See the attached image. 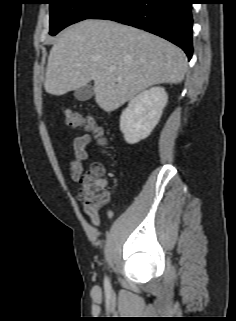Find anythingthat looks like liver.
Segmentation results:
<instances>
[{"mask_svg": "<svg viewBox=\"0 0 236 321\" xmlns=\"http://www.w3.org/2000/svg\"><path fill=\"white\" fill-rule=\"evenodd\" d=\"M186 69L185 53L171 42L114 21L87 19L55 41L44 88L60 96L93 81L96 103L110 112L152 85L180 83Z\"/></svg>", "mask_w": 236, "mask_h": 321, "instance_id": "obj_1", "label": "liver"}]
</instances>
